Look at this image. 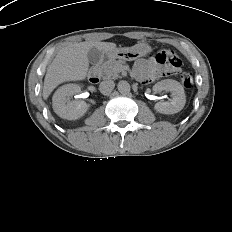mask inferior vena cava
Here are the masks:
<instances>
[{
  "instance_id": "inferior-vena-cava-1",
  "label": "inferior vena cava",
  "mask_w": 232,
  "mask_h": 232,
  "mask_svg": "<svg viewBox=\"0 0 232 232\" xmlns=\"http://www.w3.org/2000/svg\"><path fill=\"white\" fill-rule=\"evenodd\" d=\"M115 83L112 80H104L99 85V90L102 94L108 95L114 89Z\"/></svg>"
}]
</instances>
